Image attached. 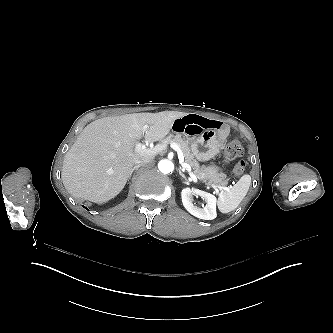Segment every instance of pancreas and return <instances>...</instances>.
Returning <instances> with one entry per match:
<instances>
[{"label":"pancreas","instance_id":"pancreas-1","mask_svg":"<svg viewBox=\"0 0 333 333\" xmlns=\"http://www.w3.org/2000/svg\"><path fill=\"white\" fill-rule=\"evenodd\" d=\"M171 142L177 143L183 151L185 162L188 163L193 169L196 177L204 182L206 185L212 186H226L228 184L227 175L220 172L215 166H200L199 162L191 153L190 141L182 137L181 134H169L164 138L160 144H170Z\"/></svg>","mask_w":333,"mask_h":333}]
</instances>
